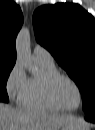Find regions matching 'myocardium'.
<instances>
[{"instance_id": "obj_1", "label": "myocardium", "mask_w": 95, "mask_h": 130, "mask_svg": "<svg viewBox=\"0 0 95 130\" xmlns=\"http://www.w3.org/2000/svg\"><path fill=\"white\" fill-rule=\"evenodd\" d=\"M61 80H67L69 82H71L77 89L78 93H79V104L76 108L74 109H70L65 107L57 98L56 96V86L59 83V81ZM46 91H47V95L49 97V99L51 100V102L53 104H55L57 107H59L61 110L66 111V112H75L78 109H80V107L83 104L84 101V95H83V91L80 87V85L70 76L65 75V74H55L51 77L48 78L47 83H46Z\"/></svg>"}]
</instances>
